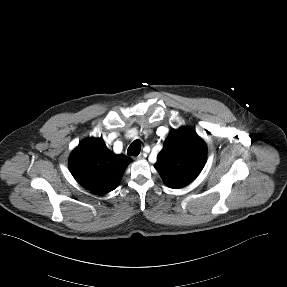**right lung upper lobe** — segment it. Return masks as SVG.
Instances as JSON below:
<instances>
[{
    "mask_svg": "<svg viewBox=\"0 0 287 287\" xmlns=\"http://www.w3.org/2000/svg\"><path fill=\"white\" fill-rule=\"evenodd\" d=\"M130 162L127 156L112 153L102 138H88L72 152L69 168L84 188L102 194L118 186Z\"/></svg>",
    "mask_w": 287,
    "mask_h": 287,
    "instance_id": "1",
    "label": "right lung upper lobe"
}]
</instances>
